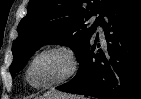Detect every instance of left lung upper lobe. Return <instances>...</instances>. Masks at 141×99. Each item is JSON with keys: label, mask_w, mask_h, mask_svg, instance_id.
<instances>
[{"label": "left lung upper lobe", "mask_w": 141, "mask_h": 99, "mask_svg": "<svg viewBox=\"0 0 141 99\" xmlns=\"http://www.w3.org/2000/svg\"><path fill=\"white\" fill-rule=\"evenodd\" d=\"M116 0H30L28 13L18 25V38L12 46V77L30 56L45 44L69 46L80 59L92 40L105 11ZM100 14L91 27L85 22Z\"/></svg>", "instance_id": "left-lung-upper-lobe-1"}]
</instances>
